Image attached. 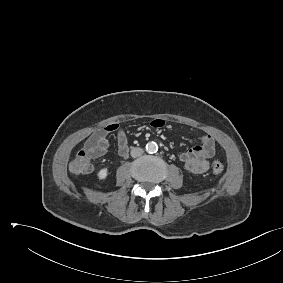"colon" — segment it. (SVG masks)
I'll return each mask as SVG.
<instances>
[{
	"instance_id": "colon-1",
	"label": "colon",
	"mask_w": 283,
	"mask_h": 283,
	"mask_svg": "<svg viewBox=\"0 0 283 283\" xmlns=\"http://www.w3.org/2000/svg\"><path fill=\"white\" fill-rule=\"evenodd\" d=\"M69 169L74 174L88 173L92 169L91 156L86 150L79 151L71 160ZM224 171L222 163L216 161L212 165V172L215 175H220Z\"/></svg>"
}]
</instances>
